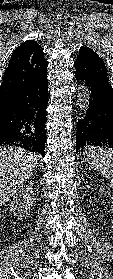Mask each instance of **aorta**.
I'll return each mask as SVG.
<instances>
[{
  "mask_svg": "<svg viewBox=\"0 0 113 279\" xmlns=\"http://www.w3.org/2000/svg\"><path fill=\"white\" fill-rule=\"evenodd\" d=\"M91 100V93L85 81L79 83L77 88V108L80 115H84L89 107V102Z\"/></svg>",
  "mask_w": 113,
  "mask_h": 279,
  "instance_id": "obj_1",
  "label": "aorta"
}]
</instances>
